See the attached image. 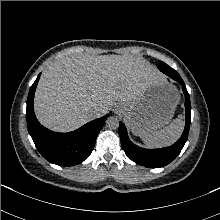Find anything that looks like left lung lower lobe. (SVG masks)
Returning a JSON list of instances; mask_svg holds the SVG:
<instances>
[{
	"mask_svg": "<svg viewBox=\"0 0 220 220\" xmlns=\"http://www.w3.org/2000/svg\"><path fill=\"white\" fill-rule=\"evenodd\" d=\"M158 68L160 71H162L163 73L174 79L175 81L179 82L182 86V90L185 95L186 123H185L184 132L180 137V139L170 147L161 148V149H143L139 146H136L130 141L127 135V129L125 125L122 122L119 123V136L125 154L129 159H131L135 163L149 168L163 167L169 164L170 162H172L178 156L183 146L185 145L190 128V114H191L190 96L188 94V91L186 89V86L182 78L180 77V75L176 70L169 67L165 63L159 64Z\"/></svg>",
	"mask_w": 220,
	"mask_h": 220,
	"instance_id": "1",
	"label": "left lung lower lobe"
}]
</instances>
